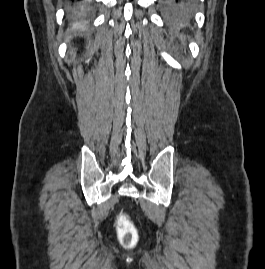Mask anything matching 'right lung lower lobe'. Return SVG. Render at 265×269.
I'll return each instance as SVG.
<instances>
[{
	"instance_id": "obj_1",
	"label": "right lung lower lobe",
	"mask_w": 265,
	"mask_h": 269,
	"mask_svg": "<svg viewBox=\"0 0 265 269\" xmlns=\"http://www.w3.org/2000/svg\"><path fill=\"white\" fill-rule=\"evenodd\" d=\"M70 12L80 16L86 11V0H70Z\"/></svg>"
}]
</instances>
